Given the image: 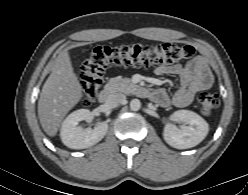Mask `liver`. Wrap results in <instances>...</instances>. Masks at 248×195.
Segmentation results:
<instances>
[{
	"label": "liver",
	"mask_w": 248,
	"mask_h": 195,
	"mask_svg": "<svg viewBox=\"0 0 248 195\" xmlns=\"http://www.w3.org/2000/svg\"><path fill=\"white\" fill-rule=\"evenodd\" d=\"M82 90L65 49L55 60L38 101V117L47 135L57 134L66 114L81 100Z\"/></svg>",
	"instance_id": "obj_1"
}]
</instances>
